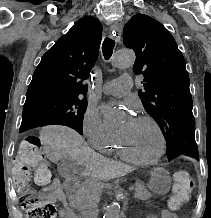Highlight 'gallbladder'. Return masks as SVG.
I'll return each mask as SVG.
<instances>
[{"instance_id":"gallbladder-1","label":"gallbladder","mask_w":211,"mask_h":218,"mask_svg":"<svg viewBox=\"0 0 211 218\" xmlns=\"http://www.w3.org/2000/svg\"><path fill=\"white\" fill-rule=\"evenodd\" d=\"M57 170L62 178H72L74 175H81L83 166H77L75 160L71 158H62L57 164Z\"/></svg>"}]
</instances>
